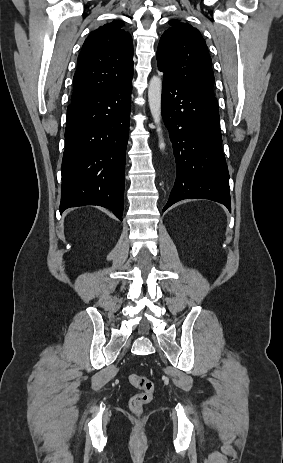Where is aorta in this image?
<instances>
[{"mask_svg":"<svg viewBox=\"0 0 283 463\" xmlns=\"http://www.w3.org/2000/svg\"><path fill=\"white\" fill-rule=\"evenodd\" d=\"M161 93L162 79L159 76H153L148 87V103L154 123L157 126L159 148L160 150H164L166 145L162 136L161 128Z\"/></svg>","mask_w":283,"mask_h":463,"instance_id":"obj_1","label":"aorta"}]
</instances>
